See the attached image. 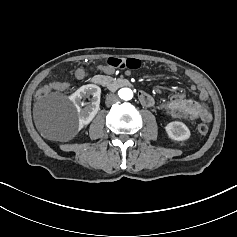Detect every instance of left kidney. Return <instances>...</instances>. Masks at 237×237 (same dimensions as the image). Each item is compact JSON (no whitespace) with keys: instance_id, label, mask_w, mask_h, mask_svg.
Here are the masks:
<instances>
[{"instance_id":"5707ae66","label":"left kidney","mask_w":237,"mask_h":237,"mask_svg":"<svg viewBox=\"0 0 237 237\" xmlns=\"http://www.w3.org/2000/svg\"><path fill=\"white\" fill-rule=\"evenodd\" d=\"M165 131L168 138L175 141H186L191 137L190 129L181 121H171L167 123Z\"/></svg>"}]
</instances>
